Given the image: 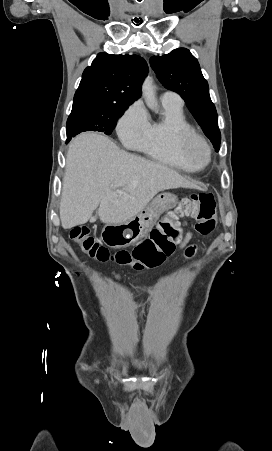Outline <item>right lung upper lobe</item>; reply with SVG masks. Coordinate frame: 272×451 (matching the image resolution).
<instances>
[{"label":"right lung upper lobe","instance_id":"right-lung-upper-lobe-1","mask_svg":"<svg viewBox=\"0 0 272 451\" xmlns=\"http://www.w3.org/2000/svg\"><path fill=\"white\" fill-rule=\"evenodd\" d=\"M148 73L146 61L138 55L99 53L82 75L74 103L131 105L141 96Z\"/></svg>","mask_w":272,"mask_h":451}]
</instances>
